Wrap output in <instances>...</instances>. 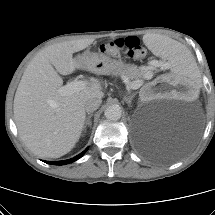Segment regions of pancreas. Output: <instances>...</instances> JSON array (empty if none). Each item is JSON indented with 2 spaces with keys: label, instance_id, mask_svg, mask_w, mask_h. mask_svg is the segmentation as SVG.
Returning <instances> with one entry per match:
<instances>
[{
  "label": "pancreas",
  "instance_id": "pancreas-1",
  "mask_svg": "<svg viewBox=\"0 0 215 215\" xmlns=\"http://www.w3.org/2000/svg\"><path fill=\"white\" fill-rule=\"evenodd\" d=\"M153 70V67L148 66H142L139 68L133 66H125L124 69L117 71L115 74H118L121 77H124L127 80L131 81L130 83H133L140 79L149 78Z\"/></svg>",
  "mask_w": 215,
  "mask_h": 215
}]
</instances>
